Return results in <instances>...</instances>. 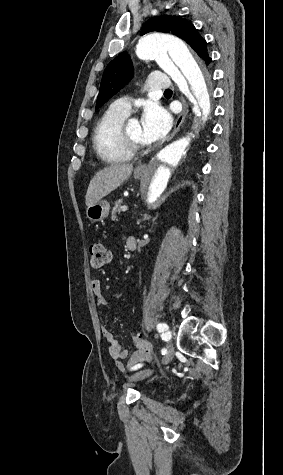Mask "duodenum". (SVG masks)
Returning <instances> with one entry per match:
<instances>
[{"mask_svg":"<svg viewBox=\"0 0 283 475\" xmlns=\"http://www.w3.org/2000/svg\"><path fill=\"white\" fill-rule=\"evenodd\" d=\"M127 248L130 250V251H133L136 249L137 247V240L135 237L131 236L127 239Z\"/></svg>","mask_w":283,"mask_h":475,"instance_id":"obj_1","label":"duodenum"}]
</instances>
